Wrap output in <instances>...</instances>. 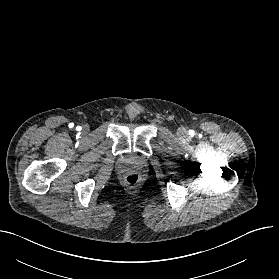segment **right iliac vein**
Masks as SVG:
<instances>
[{
    "mask_svg": "<svg viewBox=\"0 0 279 279\" xmlns=\"http://www.w3.org/2000/svg\"><path fill=\"white\" fill-rule=\"evenodd\" d=\"M87 130H88V127H87V126H85V127H84V131H87Z\"/></svg>",
    "mask_w": 279,
    "mask_h": 279,
    "instance_id": "1",
    "label": "right iliac vein"
}]
</instances>
